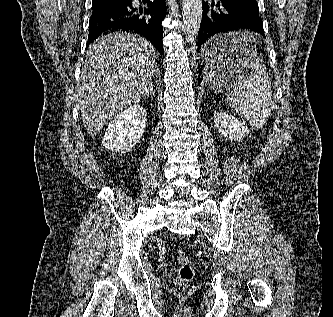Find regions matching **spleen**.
Segmentation results:
<instances>
[{"label":"spleen","instance_id":"1","mask_svg":"<svg viewBox=\"0 0 333 317\" xmlns=\"http://www.w3.org/2000/svg\"><path fill=\"white\" fill-rule=\"evenodd\" d=\"M227 35L229 39L225 43L231 48L238 47L240 52L255 48L254 38L246 31ZM226 100L254 129H261L265 125L271 113L272 91L266 67L258 58L252 59L248 70L233 85Z\"/></svg>","mask_w":333,"mask_h":317}]
</instances>
